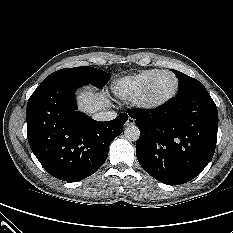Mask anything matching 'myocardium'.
<instances>
[{"mask_svg":"<svg viewBox=\"0 0 233 233\" xmlns=\"http://www.w3.org/2000/svg\"><path fill=\"white\" fill-rule=\"evenodd\" d=\"M163 74H170L175 80V86L173 91L165 98L160 100H152L149 97L150 90L154 82ZM180 88V81L177 75L171 70H161L156 75H154L150 81L147 83L141 94L136 98L137 105L145 110L153 111L158 110L169 104L178 94Z\"/></svg>","mask_w":233,"mask_h":233,"instance_id":"f54148a6","label":"myocardium"}]
</instances>
